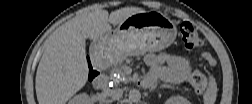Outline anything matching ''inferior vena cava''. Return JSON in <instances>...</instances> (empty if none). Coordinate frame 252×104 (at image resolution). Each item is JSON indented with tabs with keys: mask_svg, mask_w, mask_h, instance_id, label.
<instances>
[{
	"mask_svg": "<svg viewBox=\"0 0 252 104\" xmlns=\"http://www.w3.org/2000/svg\"><path fill=\"white\" fill-rule=\"evenodd\" d=\"M123 94V91L121 89H114L111 90L108 95L114 99V100H118Z\"/></svg>",
	"mask_w": 252,
	"mask_h": 104,
	"instance_id": "inferior-vena-cava-1",
	"label": "inferior vena cava"
}]
</instances>
